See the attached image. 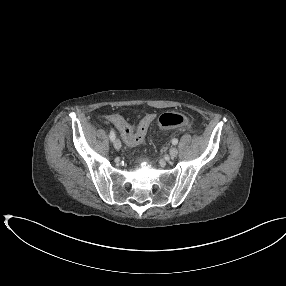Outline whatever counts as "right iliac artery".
<instances>
[{"instance_id": "obj_1", "label": "right iliac artery", "mask_w": 286, "mask_h": 286, "mask_svg": "<svg viewBox=\"0 0 286 286\" xmlns=\"http://www.w3.org/2000/svg\"><path fill=\"white\" fill-rule=\"evenodd\" d=\"M109 137H110V140H111V141H114V140H115V132H114L113 129L110 130V135H109Z\"/></svg>"}]
</instances>
